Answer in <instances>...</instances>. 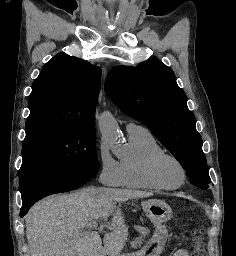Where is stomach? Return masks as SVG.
Masks as SVG:
<instances>
[{"instance_id": "0dacf381", "label": "stomach", "mask_w": 236, "mask_h": 256, "mask_svg": "<svg viewBox=\"0 0 236 256\" xmlns=\"http://www.w3.org/2000/svg\"><path fill=\"white\" fill-rule=\"evenodd\" d=\"M142 206L146 216L154 224L155 232L145 246L131 256H159L168 237L165 223L172 218V210L164 201L158 199L147 200Z\"/></svg>"}]
</instances>
